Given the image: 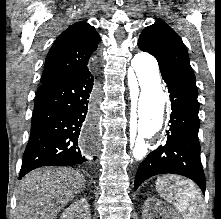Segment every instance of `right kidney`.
<instances>
[{
  "instance_id": "obj_1",
  "label": "right kidney",
  "mask_w": 221,
  "mask_h": 219,
  "mask_svg": "<svg viewBox=\"0 0 221 219\" xmlns=\"http://www.w3.org/2000/svg\"><path fill=\"white\" fill-rule=\"evenodd\" d=\"M60 219H90L89 204L85 198L73 202L64 210Z\"/></svg>"
}]
</instances>
